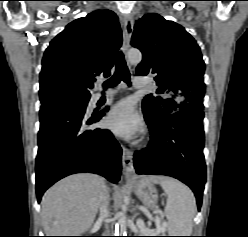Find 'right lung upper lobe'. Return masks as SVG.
I'll use <instances>...</instances> for the list:
<instances>
[{
  "label": "right lung upper lobe",
  "mask_w": 248,
  "mask_h": 237,
  "mask_svg": "<svg viewBox=\"0 0 248 237\" xmlns=\"http://www.w3.org/2000/svg\"><path fill=\"white\" fill-rule=\"evenodd\" d=\"M121 43L118 17L110 10L94 11L68 24L43 56L42 106L58 100H89L96 77L110 75Z\"/></svg>",
  "instance_id": "obj_1"
}]
</instances>
